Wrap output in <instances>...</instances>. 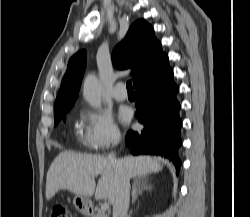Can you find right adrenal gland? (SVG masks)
<instances>
[{
	"mask_svg": "<svg viewBox=\"0 0 250 217\" xmlns=\"http://www.w3.org/2000/svg\"><path fill=\"white\" fill-rule=\"evenodd\" d=\"M151 189H152V185L147 184L146 177L136 178L132 185V203H135V201L138 198V195H140L142 191L151 190Z\"/></svg>",
	"mask_w": 250,
	"mask_h": 217,
	"instance_id": "right-adrenal-gland-1",
	"label": "right adrenal gland"
}]
</instances>
